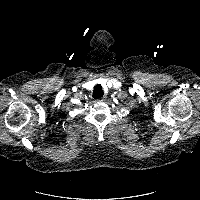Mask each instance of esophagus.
Here are the masks:
<instances>
[{
	"label": "esophagus",
	"mask_w": 200,
	"mask_h": 200,
	"mask_svg": "<svg viewBox=\"0 0 200 200\" xmlns=\"http://www.w3.org/2000/svg\"><path fill=\"white\" fill-rule=\"evenodd\" d=\"M99 101H104V99H100Z\"/></svg>",
	"instance_id": "obj_1"
}]
</instances>
